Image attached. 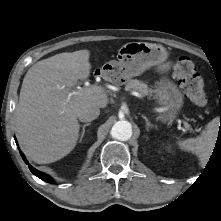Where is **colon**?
I'll use <instances>...</instances> for the list:
<instances>
[{
  "label": "colon",
  "instance_id": "1",
  "mask_svg": "<svg viewBox=\"0 0 221 221\" xmlns=\"http://www.w3.org/2000/svg\"><path fill=\"white\" fill-rule=\"evenodd\" d=\"M174 74L186 96L199 107L207 103L204 82L197 72L193 61L186 56L178 59L174 66Z\"/></svg>",
  "mask_w": 221,
  "mask_h": 221
}]
</instances>
